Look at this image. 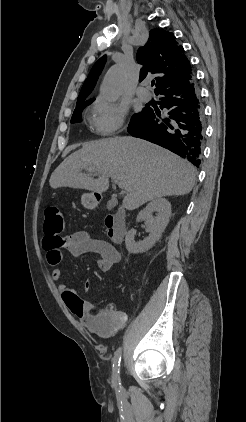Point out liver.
<instances>
[{
	"label": "liver",
	"instance_id": "liver-1",
	"mask_svg": "<svg viewBox=\"0 0 246 422\" xmlns=\"http://www.w3.org/2000/svg\"><path fill=\"white\" fill-rule=\"evenodd\" d=\"M99 174L98 179L82 171ZM196 170L188 161L150 142L132 137H113L89 142L54 170L49 183L53 189L70 187L102 194L109 179L125 184L123 206L134 210L164 196L188 194Z\"/></svg>",
	"mask_w": 246,
	"mask_h": 422
}]
</instances>
